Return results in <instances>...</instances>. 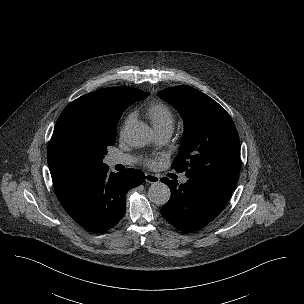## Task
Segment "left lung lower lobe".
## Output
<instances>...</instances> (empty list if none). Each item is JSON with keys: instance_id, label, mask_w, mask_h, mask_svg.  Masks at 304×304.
Wrapping results in <instances>:
<instances>
[{"instance_id": "obj_1", "label": "left lung lower lobe", "mask_w": 304, "mask_h": 304, "mask_svg": "<svg viewBox=\"0 0 304 304\" xmlns=\"http://www.w3.org/2000/svg\"><path fill=\"white\" fill-rule=\"evenodd\" d=\"M161 181L171 189V198L161 214L185 233L199 230L215 219L233 193L232 189L207 181L189 179L179 186L166 177Z\"/></svg>"}]
</instances>
